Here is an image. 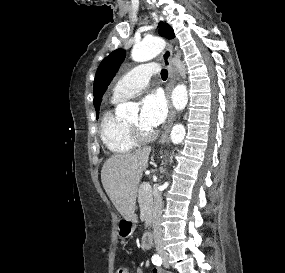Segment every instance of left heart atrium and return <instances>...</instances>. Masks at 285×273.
I'll return each mask as SVG.
<instances>
[{
  "label": "left heart atrium",
  "instance_id": "1",
  "mask_svg": "<svg viewBox=\"0 0 285 273\" xmlns=\"http://www.w3.org/2000/svg\"><path fill=\"white\" fill-rule=\"evenodd\" d=\"M167 115V102L160 91H152L141 100L139 122L146 129L153 130L161 125Z\"/></svg>",
  "mask_w": 285,
  "mask_h": 273
}]
</instances>
